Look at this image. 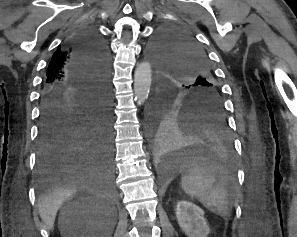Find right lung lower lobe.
Instances as JSON below:
<instances>
[{"mask_svg": "<svg viewBox=\"0 0 297 237\" xmlns=\"http://www.w3.org/2000/svg\"><path fill=\"white\" fill-rule=\"evenodd\" d=\"M66 43L72 49V77L79 86L56 85L43 90L38 172L44 177L110 174L113 149L106 42L96 30L86 28Z\"/></svg>", "mask_w": 297, "mask_h": 237, "instance_id": "right-lung-lower-lobe-1", "label": "right lung lower lobe"}]
</instances>
